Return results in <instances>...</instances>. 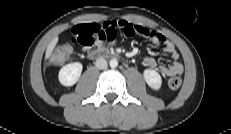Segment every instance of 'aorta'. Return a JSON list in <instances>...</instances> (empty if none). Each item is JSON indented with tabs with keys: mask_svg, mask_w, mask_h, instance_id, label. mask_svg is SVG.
I'll return each instance as SVG.
<instances>
[{
	"mask_svg": "<svg viewBox=\"0 0 231 134\" xmlns=\"http://www.w3.org/2000/svg\"><path fill=\"white\" fill-rule=\"evenodd\" d=\"M109 64L111 68H116L118 66V61L116 59H111Z\"/></svg>",
	"mask_w": 231,
	"mask_h": 134,
	"instance_id": "762f6f07",
	"label": "aorta"
}]
</instances>
